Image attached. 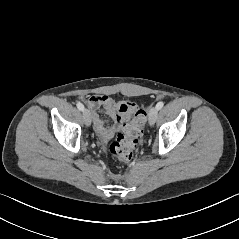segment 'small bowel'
Listing matches in <instances>:
<instances>
[{"mask_svg":"<svg viewBox=\"0 0 239 239\" xmlns=\"http://www.w3.org/2000/svg\"><path fill=\"white\" fill-rule=\"evenodd\" d=\"M87 105L91 109L93 125L104 141L111 140L116 132L130 120L131 116L140 110L133 102H117L112 97L104 94L91 96L87 100ZM100 112H104L112 119L111 125H107L101 119Z\"/></svg>","mask_w":239,"mask_h":239,"instance_id":"c3829d8e","label":"small bowel"}]
</instances>
